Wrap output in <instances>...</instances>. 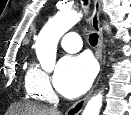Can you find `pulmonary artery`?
<instances>
[{
    "mask_svg": "<svg viewBox=\"0 0 131 115\" xmlns=\"http://www.w3.org/2000/svg\"><path fill=\"white\" fill-rule=\"evenodd\" d=\"M60 44L65 51L70 52V53L77 52L82 47L81 38L75 32H69L65 34L61 38Z\"/></svg>",
    "mask_w": 131,
    "mask_h": 115,
    "instance_id": "pulmonary-artery-1",
    "label": "pulmonary artery"
}]
</instances>
